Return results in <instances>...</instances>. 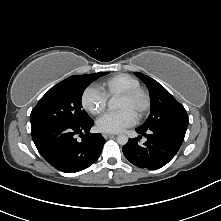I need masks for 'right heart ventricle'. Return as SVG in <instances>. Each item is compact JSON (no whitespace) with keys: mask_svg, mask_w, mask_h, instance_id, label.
<instances>
[{"mask_svg":"<svg viewBox=\"0 0 221 221\" xmlns=\"http://www.w3.org/2000/svg\"><path fill=\"white\" fill-rule=\"evenodd\" d=\"M139 87L140 82L137 78L124 73L110 77L101 83L102 92L107 98L119 96L128 90Z\"/></svg>","mask_w":221,"mask_h":221,"instance_id":"1","label":"right heart ventricle"}]
</instances>
